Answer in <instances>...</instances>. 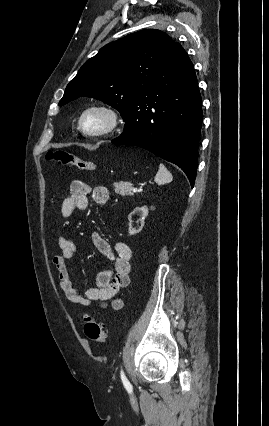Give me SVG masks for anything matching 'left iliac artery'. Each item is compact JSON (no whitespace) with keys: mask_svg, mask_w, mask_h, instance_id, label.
Listing matches in <instances>:
<instances>
[{"mask_svg":"<svg viewBox=\"0 0 269 426\" xmlns=\"http://www.w3.org/2000/svg\"><path fill=\"white\" fill-rule=\"evenodd\" d=\"M120 375H121V380H122V383H123L124 387H125L128 391H132V385H131V384H130V382L128 381V379H127V377L125 376V374H124V371H123V370H121Z\"/></svg>","mask_w":269,"mask_h":426,"instance_id":"1","label":"left iliac artery"}]
</instances>
